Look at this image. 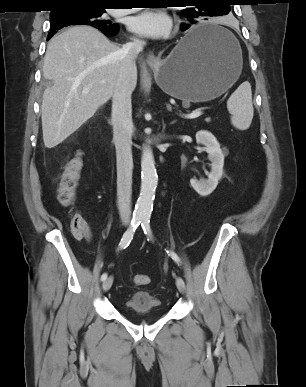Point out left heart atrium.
I'll return each instance as SVG.
<instances>
[{
    "instance_id": "left-heart-atrium-1",
    "label": "left heart atrium",
    "mask_w": 306,
    "mask_h": 387,
    "mask_svg": "<svg viewBox=\"0 0 306 387\" xmlns=\"http://www.w3.org/2000/svg\"><path fill=\"white\" fill-rule=\"evenodd\" d=\"M130 31L149 38H162L169 34L172 22L168 15L145 10L131 17L128 22Z\"/></svg>"
}]
</instances>
